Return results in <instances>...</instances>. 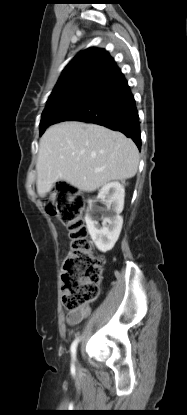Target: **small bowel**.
<instances>
[{"label":"small bowel","mask_w":187,"mask_h":415,"mask_svg":"<svg viewBox=\"0 0 187 415\" xmlns=\"http://www.w3.org/2000/svg\"><path fill=\"white\" fill-rule=\"evenodd\" d=\"M89 312L90 309L88 306H83L75 311H69L67 314V321L70 325H76L81 322L89 314Z\"/></svg>","instance_id":"c3829d8e"}]
</instances>
